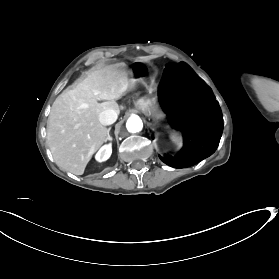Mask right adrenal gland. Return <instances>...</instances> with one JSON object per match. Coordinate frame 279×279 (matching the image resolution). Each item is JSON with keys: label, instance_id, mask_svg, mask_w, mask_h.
<instances>
[{"label": "right adrenal gland", "instance_id": "2a0ac1e0", "mask_svg": "<svg viewBox=\"0 0 279 279\" xmlns=\"http://www.w3.org/2000/svg\"><path fill=\"white\" fill-rule=\"evenodd\" d=\"M110 129H111V128H108V133H107V135H108V140L112 142L113 139L110 137Z\"/></svg>", "mask_w": 279, "mask_h": 279}]
</instances>
